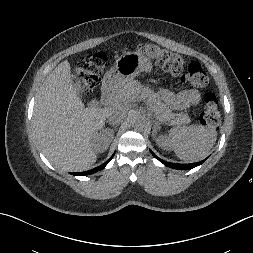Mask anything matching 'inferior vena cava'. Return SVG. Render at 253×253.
Here are the masks:
<instances>
[{
	"label": "inferior vena cava",
	"instance_id": "602c4592",
	"mask_svg": "<svg viewBox=\"0 0 253 253\" xmlns=\"http://www.w3.org/2000/svg\"><path fill=\"white\" fill-rule=\"evenodd\" d=\"M128 113V109L126 107L123 106H112L109 108V113H108V122L111 125H118L120 124V122H122Z\"/></svg>",
	"mask_w": 253,
	"mask_h": 253
}]
</instances>
